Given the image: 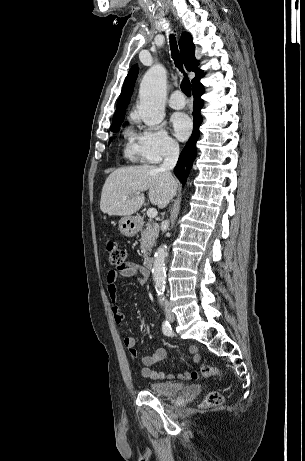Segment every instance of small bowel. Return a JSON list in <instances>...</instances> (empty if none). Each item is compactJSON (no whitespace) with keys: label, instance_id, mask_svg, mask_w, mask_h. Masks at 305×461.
I'll use <instances>...</instances> for the list:
<instances>
[{"label":"small bowel","instance_id":"1","mask_svg":"<svg viewBox=\"0 0 305 461\" xmlns=\"http://www.w3.org/2000/svg\"><path fill=\"white\" fill-rule=\"evenodd\" d=\"M119 277L124 278H135L141 283H145L148 277L146 270L141 268L138 263L128 262L126 268L122 271L110 270L106 275V288L111 301V310L114 316V320L117 324L124 322L125 316L122 312L121 304L119 302L117 280ZM125 347L132 357L138 355V351L135 347V338L132 336H126L123 340ZM188 353L192 356V363L197 364L200 362V355L196 346L191 345L188 347ZM167 356V352L163 347L156 348L152 353L142 357L143 367L141 369V375L151 379H164L166 375L163 372L155 371L152 366L164 360ZM173 374H169L168 378H173ZM179 379L187 380L190 377L188 372L180 373L177 375Z\"/></svg>","mask_w":305,"mask_h":461}]
</instances>
